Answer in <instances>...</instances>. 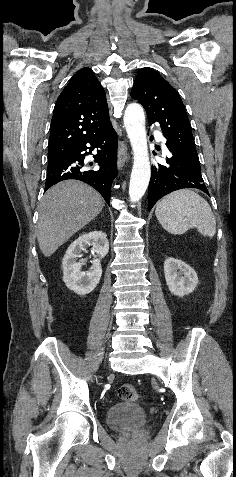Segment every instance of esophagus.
I'll return each mask as SVG.
<instances>
[{"label": "esophagus", "mask_w": 236, "mask_h": 477, "mask_svg": "<svg viewBox=\"0 0 236 477\" xmlns=\"http://www.w3.org/2000/svg\"><path fill=\"white\" fill-rule=\"evenodd\" d=\"M128 159L127 147L123 142H120L118 149V168L122 169Z\"/></svg>", "instance_id": "34e87169"}]
</instances>
